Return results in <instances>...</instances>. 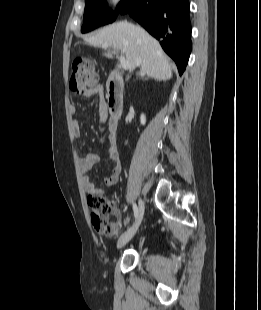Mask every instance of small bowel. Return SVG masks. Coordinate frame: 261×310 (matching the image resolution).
<instances>
[{
    "label": "small bowel",
    "mask_w": 261,
    "mask_h": 310,
    "mask_svg": "<svg viewBox=\"0 0 261 310\" xmlns=\"http://www.w3.org/2000/svg\"><path fill=\"white\" fill-rule=\"evenodd\" d=\"M102 93L103 88L102 86L93 87L91 89H87L84 91H81V94L85 97L92 98L97 97L100 99V108H104V103L102 101ZM74 111V108H73ZM72 131L75 137H79L81 134L80 131V124L78 121L72 122ZM109 147L107 150V158L113 163V168L107 177L104 179V183L106 186H112L115 183H117L119 179V175L121 173V162L116 146V136L115 132L110 128L109 126ZM100 160V156L96 153H87L80 159V167L83 174V184L86 192L90 195L97 194L102 195L103 189L97 187L91 180L88 175V172L92 169V167Z\"/></svg>",
    "instance_id": "1"
}]
</instances>
